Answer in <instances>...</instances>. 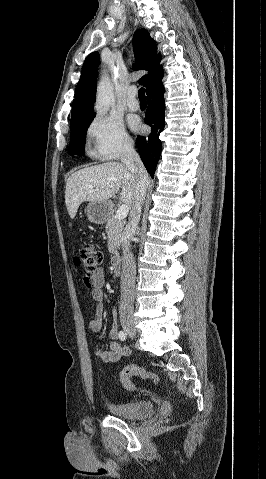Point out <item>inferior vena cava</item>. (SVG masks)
<instances>
[{
    "label": "inferior vena cava",
    "mask_w": 266,
    "mask_h": 479,
    "mask_svg": "<svg viewBox=\"0 0 266 479\" xmlns=\"http://www.w3.org/2000/svg\"><path fill=\"white\" fill-rule=\"evenodd\" d=\"M121 160L131 171L135 178L137 188L136 202L130 211L129 222L125 228L124 242L122 244L123 257L119 314L120 319L123 321L133 318L134 313L136 264L133 254L130 251L129 239L133 237L137 230L142 205L149 187V176L132 143H127L124 146Z\"/></svg>",
    "instance_id": "inferior-vena-cava-1"
}]
</instances>
